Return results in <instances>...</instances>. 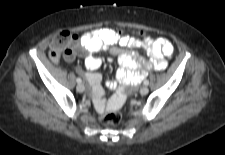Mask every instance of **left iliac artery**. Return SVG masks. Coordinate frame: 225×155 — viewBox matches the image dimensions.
Segmentation results:
<instances>
[{"instance_id":"obj_1","label":"left iliac artery","mask_w":225,"mask_h":155,"mask_svg":"<svg viewBox=\"0 0 225 155\" xmlns=\"http://www.w3.org/2000/svg\"><path fill=\"white\" fill-rule=\"evenodd\" d=\"M149 84V81L148 80H145L144 81V85H148Z\"/></svg>"}]
</instances>
